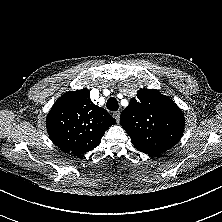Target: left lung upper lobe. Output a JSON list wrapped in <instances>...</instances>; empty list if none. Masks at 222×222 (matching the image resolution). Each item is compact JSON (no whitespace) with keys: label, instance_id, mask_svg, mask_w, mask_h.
Returning <instances> with one entry per match:
<instances>
[{"label":"left lung upper lobe","instance_id":"5c2ea615","mask_svg":"<svg viewBox=\"0 0 222 222\" xmlns=\"http://www.w3.org/2000/svg\"><path fill=\"white\" fill-rule=\"evenodd\" d=\"M120 124L141 152L166 151L184 131V116L172 99L155 89H140L120 116Z\"/></svg>","mask_w":222,"mask_h":222}]
</instances>
